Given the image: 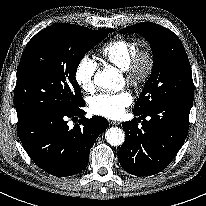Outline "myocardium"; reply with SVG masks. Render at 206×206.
I'll list each match as a JSON object with an SVG mask.
<instances>
[{
	"mask_svg": "<svg viewBox=\"0 0 206 206\" xmlns=\"http://www.w3.org/2000/svg\"><path fill=\"white\" fill-rule=\"evenodd\" d=\"M155 66V56L148 47L138 48L124 70L128 83L141 86L151 77Z\"/></svg>",
	"mask_w": 206,
	"mask_h": 206,
	"instance_id": "myocardium-1",
	"label": "myocardium"
}]
</instances>
